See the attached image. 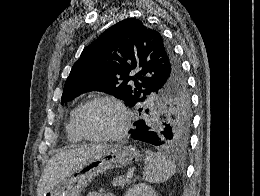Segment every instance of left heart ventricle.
<instances>
[{
    "instance_id": "1",
    "label": "left heart ventricle",
    "mask_w": 260,
    "mask_h": 196,
    "mask_svg": "<svg viewBox=\"0 0 260 196\" xmlns=\"http://www.w3.org/2000/svg\"><path fill=\"white\" fill-rule=\"evenodd\" d=\"M81 123L88 134L102 136L116 131L121 126L122 115L114 105L99 102L84 111Z\"/></svg>"
}]
</instances>
